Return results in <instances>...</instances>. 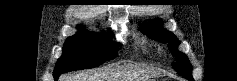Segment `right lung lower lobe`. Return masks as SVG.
<instances>
[{"mask_svg":"<svg viewBox=\"0 0 237 81\" xmlns=\"http://www.w3.org/2000/svg\"><path fill=\"white\" fill-rule=\"evenodd\" d=\"M59 76H60V75H56V76H54L55 80H57Z\"/></svg>","mask_w":237,"mask_h":81,"instance_id":"right-lung-lower-lobe-1","label":"right lung lower lobe"}]
</instances>
